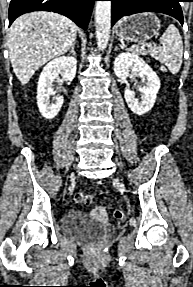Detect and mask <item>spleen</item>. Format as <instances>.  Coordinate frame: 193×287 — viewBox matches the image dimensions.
<instances>
[{
    "label": "spleen",
    "instance_id": "obj_1",
    "mask_svg": "<svg viewBox=\"0 0 193 287\" xmlns=\"http://www.w3.org/2000/svg\"><path fill=\"white\" fill-rule=\"evenodd\" d=\"M162 46L150 47L148 53L167 66L172 74L178 73L182 64L183 42L175 25L171 24L160 38Z\"/></svg>",
    "mask_w": 193,
    "mask_h": 287
}]
</instances>
